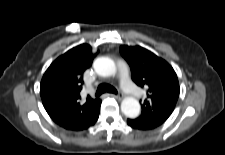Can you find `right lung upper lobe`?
<instances>
[{
	"instance_id": "cb5924a9",
	"label": "right lung upper lobe",
	"mask_w": 225,
	"mask_h": 155,
	"mask_svg": "<svg viewBox=\"0 0 225 155\" xmlns=\"http://www.w3.org/2000/svg\"><path fill=\"white\" fill-rule=\"evenodd\" d=\"M96 53L88 44L72 48L46 70L40 84L45 110L52 120L68 130H83L94 124L101 100L90 97L84 102L80 91L83 73L92 65Z\"/></svg>"
}]
</instances>
